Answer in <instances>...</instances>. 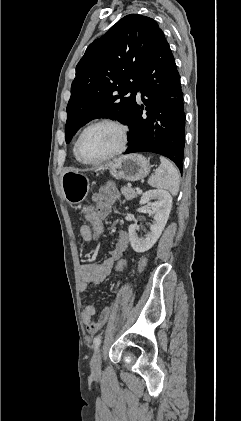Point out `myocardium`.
Instances as JSON below:
<instances>
[{"instance_id": "1", "label": "myocardium", "mask_w": 241, "mask_h": 421, "mask_svg": "<svg viewBox=\"0 0 241 421\" xmlns=\"http://www.w3.org/2000/svg\"><path fill=\"white\" fill-rule=\"evenodd\" d=\"M98 125H111L114 126L115 128L118 129L119 133H120V143L118 145V147L112 151L111 153L107 154L106 156L97 159V160H87L86 158L83 157L82 153H81V142L82 139L85 135V133L90 130L91 128L98 126ZM128 139H129V130L128 127L122 123L119 120L116 119H112V118H102L99 120H96L92 123H90L89 125H87L79 134L77 141H76V154L78 159L87 165H100L102 163H105L113 158H115L116 156L120 155L121 153H123L127 147L128 144Z\"/></svg>"}]
</instances>
